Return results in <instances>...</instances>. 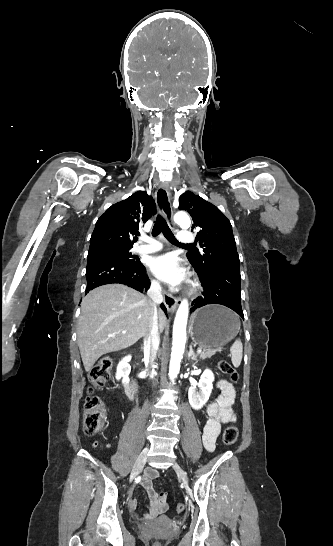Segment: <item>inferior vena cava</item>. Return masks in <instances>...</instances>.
<instances>
[{
	"label": "inferior vena cava",
	"instance_id": "obj_1",
	"mask_svg": "<svg viewBox=\"0 0 333 546\" xmlns=\"http://www.w3.org/2000/svg\"><path fill=\"white\" fill-rule=\"evenodd\" d=\"M148 296L152 300L153 311L150 319L149 331L145 337L144 347L153 358L156 355L160 344V334L158 330V306L163 302L162 288L158 281H153L148 290ZM153 378V375L150 377Z\"/></svg>",
	"mask_w": 333,
	"mask_h": 546
}]
</instances>
